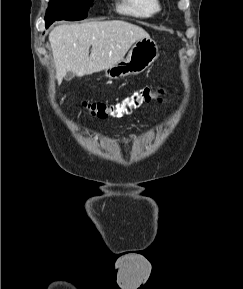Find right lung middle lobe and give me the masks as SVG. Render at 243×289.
Masks as SVG:
<instances>
[{
	"instance_id": "1",
	"label": "right lung middle lobe",
	"mask_w": 243,
	"mask_h": 289,
	"mask_svg": "<svg viewBox=\"0 0 243 289\" xmlns=\"http://www.w3.org/2000/svg\"><path fill=\"white\" fill-rule=\"evenodd\" d=\"M93 0H50L45 21L81 20L87 16Z\"/></svg>"
}]
</instances>
